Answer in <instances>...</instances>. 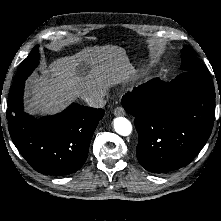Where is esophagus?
<instances>
[{
  "instance_id": "esophagus-1",
  "label": "esophagus",
  "mask_w": 221,
  "mask_h": 221,
  "mask_svg": "<svg viewBox=\"0 0 221 221\" xmlns=\"http://www.w3.org/2000/svg\"><path fill=\"white\" fill-rule=\"evenodd\" d=\"M113 113L115 116H123L125 115V110L123 109V107L118 106L114 109Z\"/></svg>"
}]
</instances>
